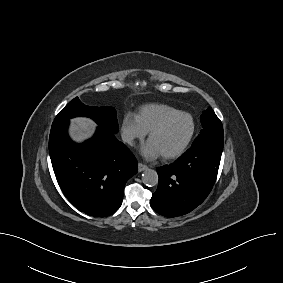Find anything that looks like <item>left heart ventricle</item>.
I'll use <instances>...</instances> for the list:
<instances>
[{
	"label": "left heart ventricle",
	"instance_id": "1",
	"mask_svg": "<svg viewBox=\"0 0 283 283\" xmlns=\"http://www.w3.org/2000/svg\"><path fill=\"white\" fill-rule=\"evenodd\" d=\"M190 130V119L186 116H177L171 119L161 130L153 134L150 140L162 155L178 149L188 137Z\"/></svg>",
	"mask_w": 283,
	"mask_h": 283
}]
</instances>
